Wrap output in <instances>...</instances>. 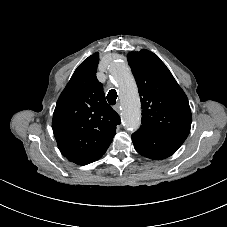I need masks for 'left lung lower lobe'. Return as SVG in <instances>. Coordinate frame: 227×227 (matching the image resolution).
I'll return each instance as SVG.
<instances>
[{"instance_id": "0a47b994", "label": "left lung lower lobe", "mask_w": 227, "mask_h": 227, "mask_svg": "<svg viewBox=\"0 0 227 227\" xmlns=\"http://www.w3.org/2000/svg\"><path fill=\"white\" fill-rule=\"evenodd\" d=\"M132 142L139 154L155 160L171 156L182 145V143L144 127H140L132 134Z\"/></svg>"}]
</instances>
